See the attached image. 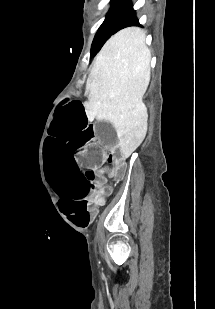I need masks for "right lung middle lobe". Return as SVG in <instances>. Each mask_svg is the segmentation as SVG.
Returning a JSON list of instances; mask_svg holds the SVG:
<instances>
[{"label": "right lung middle lobe", "mask_w": 215, "mask_h": 309, "mask_svg": "<svg viewBox=\"0 0 215 309\" xmlns=\"http://www.w3.org/2000/svg\"><path fill=\"white\" fill-rule=\"evenodd\" d=\"M112 1L113 4L93 40L91 47V57L96 55V53L101 49V47L111 37V35L119 31L120 21L131 6L129 0Z\"/></svg>", "instance_id": "obj_1"}]
</instances>
